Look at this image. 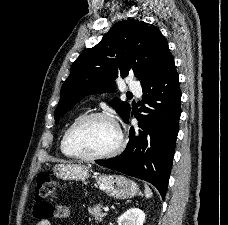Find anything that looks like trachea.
Masks as SVG:
<instances>
[{"mask_svg":"<svg viewBox=\"0 0 228 225\" xmlns=\"http://www.w3.org/2000/svg\"><path fill=\"white\" fill-rule=\"evenodd\" d=\"M127 98H132V94H127Z\"/></svg>","mask_w":228,"mask_h":225,"instance_id":"obj_1","label":"trachea"}]
</instances>
